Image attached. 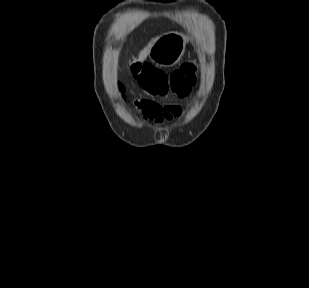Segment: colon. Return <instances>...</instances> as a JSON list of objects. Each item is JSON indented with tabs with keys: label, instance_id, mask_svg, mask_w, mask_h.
Here are the masks:
<instances>
[{
	"label": "colon",
	"instance_id": "1",
	"mask_svg": "<svg viewBox=\"0 0 309 288\" xmlns=\"http://www.w3.org/2000/svg\"><path fill=\"white\" fill-rule=\"evenodd\" d=\"M135 70L138 71L137 68ZM137 73L139 83L148 92L157 96L173 94L177 97H184L198 83L197 70L192 63L183 64L171 75L153 66H148L144 71Z\"/></svg>",
	"mask_w": 309,
	"mask_h": 288
}]
</instances>
